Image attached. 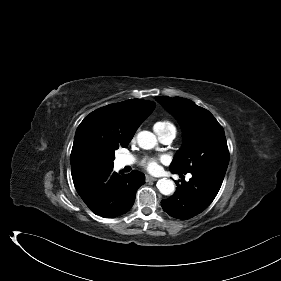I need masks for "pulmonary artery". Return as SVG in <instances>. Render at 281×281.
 Wrapping results in <instances>:
<instances>
[{"label":"pulmonary artery","mask_w":281,"mask_h":281,"mask_svg":"<svg viewBox=\"0 0 281 281\" xmlns=\"http://www.w3.org/2000/svg\"><path fill=\"white\" fill-rule=\"evenodd\" d=\"M160 140L165 143V144H169L173 141V139L175 138L176 135V131L175 130H170L167 131L165 133L162 134H158ZM133 158L131 157H122L120 160V163L122 166H127V165H131L133 163ZM191 175H188V178H190Z\"/></svg>","instance_id":"1"}]
</instances>
